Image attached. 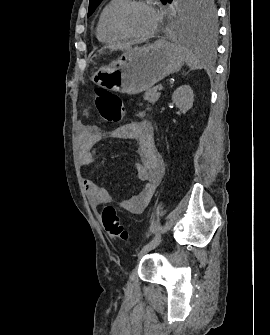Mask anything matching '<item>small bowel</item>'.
<instances>
[{"label": "small bowel", "mask_w": 270, "mask_h": 335, "mask_svg": "<svg viewBox=\"0 0 270 335\" xmlns=\"http://www.w3.org/2000/svg\"><path fill=\"white\" fill-rule=\"evenodd\" d=\"M84 114L87 115V111ZM78 137L80 161L84 165H90L94 161L92 149L99 139V129L94 125L81 124L78 129ZM118 137L134 140L137 143L139 161L135 163L134 167L138 178L145 182L140 192L119 200L118 205L126 212L139 214L149 205L163 176L164 166L155 150L153 128L149 121L140 119L119 127ZM83 184L92 207L96 208L113 201L107 189L92 179L84 178Z\"/></svg>", "instance_id": "1"}]
</instances>
